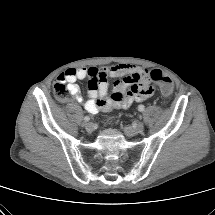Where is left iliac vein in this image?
I'll return each instance as SVG.
<instances>
[{"label": "left iliac vein", "mask_w": 215, "mask_h": 215, "mask_svg": "<svg viewBox=\"0 0 215 215\" xmlns=\"http://www.w3.org/2000/svg\"><path fill=\"white\" fill-rule=\"evenodd\" d=\"M143 129H144V123L143 122H138L133 127H130V126L125 127L124 130H125V133L128 136H132V135H135V134H138V133L142 132Z\"/></svg>", "instance_id": "obj_1"}]
</instances>
